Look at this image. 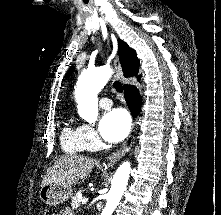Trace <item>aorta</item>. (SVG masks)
Masks as SVG:
<instances>
[{
    "instance_id": "obj_1",
    "label": "aorta",
    "mask_w": 221,
    "mask_h": 215,
    "mask_svg": "<svg viewBox=\"0 0 221 215\" xmlns=\"http://www.w3.org/2000/svg\"><path fill=\"white\" fill-rule=\"evenodd\" d=\"M109 66H101L83 73L78 79L75 95L79 116L93 123L98 116L97 95L104 88L112 75ZM131 164L122 163L116 170L111 181V189L107 195L106 206L101 215H112L126 189L130 176Z\"/></svg>"
}]
</instances>
